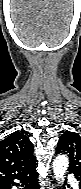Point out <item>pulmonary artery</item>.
Returning <instances> with one entry per match:
<instances>
[{"mask_svg":"<svg viewBox=\"0 0 81 189\" xmlns=\"http://www.w3.org/2000/svg\"><path fill=\"white\" fill-rule=\"evenodd\" d=\"M71 184H72V186H73L75 189H77L78 183H77V181H76L75 178H71Z\"/></svg>","mask_w":81,"mask_h":189,"instance_id":"pulmonary-artery-1","label":"pulmonary artery"}]
</instances>
